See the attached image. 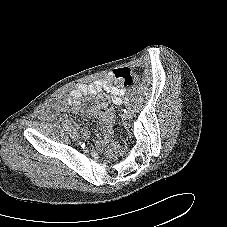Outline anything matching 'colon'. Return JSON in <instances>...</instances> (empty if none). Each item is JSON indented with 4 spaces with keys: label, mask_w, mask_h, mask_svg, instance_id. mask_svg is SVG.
Returning <instances> with one entry per match:
<instances>
[{
    "label": "colon",
    "mask_w": 227,
    "mask_h": 227,
    "mask_svg": "<svg viewBox=\"0 0 227 227\" xmlns=\"http://www.w3.org/2000/svg\"><path fill=\"white\" fill-rule=\"evenodd\" d=\"M139 80L138 75L128 68H120L114 71L113 83L116 87L122 89ZM97 106L101 111H106L110 107V101L108 96L100 95L97 99ZM115 152H120L115 146Z\"/></svg>",
    "instance_id": "obj_1"
}]
</instances>
